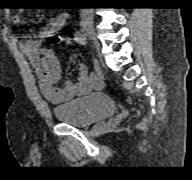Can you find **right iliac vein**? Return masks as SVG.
<instances>
[{
    "label": "right iliac vein",
    "mask_w": 192,
    "mask_h": 180,
    "mask_svg": "<svg viewBox=\"0 0 192 180\" xmlns=\"http://www.w3.org/2000/svg\"><path fill=\"white\" fill-rule=\"evenodd\" d=\"M81 29L82 31L84 32V34L94 42L95 45L98 46V42H97V39H96V34H95V31H94V28H93V25L91 22L89 21H83L81 23Z\"/></svg>",
    "instance_id": "obj_1"
}]
</instances>
